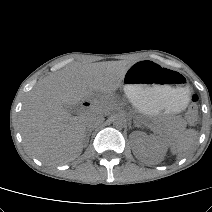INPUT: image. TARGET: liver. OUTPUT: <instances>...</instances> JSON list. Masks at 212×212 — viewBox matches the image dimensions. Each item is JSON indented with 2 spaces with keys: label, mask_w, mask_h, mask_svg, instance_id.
I'll return each instance as SVG.
<instances>
[{
  "label": "liver",
  "mask_w": 212,
  "mask_h": 212,
  "mask_svg": "<svg viewBox=\"0 0 212 212\" xmlns=\"http://www.w3.org/2000/svg\"><path fill=\"white\" fill-rule=\"evenodd\" d=\"M130 66L125 61L72 64L40 81L21 111L26 150L47 165L76 159L83 150L87 114L72 116L64 106L76 105L90 91L114 94ZM91 112L104 114L106 109L96 104Z\"/></svg>",
  "instance_id": "6515ba94"
}]
</instances>
